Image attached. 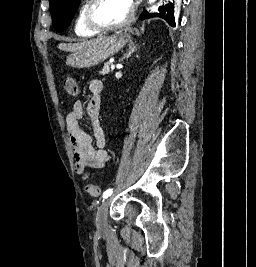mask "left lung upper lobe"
Listing matches in <instances>:
<instances>
[{"instance_id":"obj_1","label":"left lung upper lobe","mask_w":256,"mask_h":267,"mask_svg":"<svg viewBox=\"0 0 256 267\" xmlns=\"http://www.w3.org/2000/svg\"><path fill=\"white\" fill-rule=\"evenodd\" d=\"M49 2L53 27L57 32H62L69 26L80 0H49ZM159 10L160 14H149L147 11H143L139 19L143 20L145 18L157 16L165 19L169 24H172V17H174L172 3L160 7Z\"/></svg>"}]
</instances>
